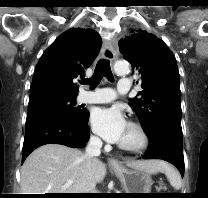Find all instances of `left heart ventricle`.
Returning a JSON list of instances; mask_svg holds the SVG:
<instances>
[{
  "mask_svg": "<svg viewBox=\"0 0 208 198\" xmlns=\"http://www.w3.org/2000/svg\"><path fill=\"white\" fill-rule=\"evenodd\" d=\"M139 141V135L137 131L132 128L130 125H128L120 139V143L124 144H136Z\"/></svg>",
  "mask_w": 208,
  "mask_h": 198,
  "instance_id": "1",
  "label": "left heart ventricle"
}]
</instances>
